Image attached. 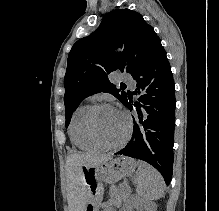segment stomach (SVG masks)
I'll list each match as a JSON object with an SVG mask.
<instances>
[{
  "label": "stomach",
  "mask_w": 219,
  "mask_h": 211,
  "mask_svg": "<svg viewBox=\"0 0 219 211\" xmlns=\"http://www.w3.org/2000/svg\"><path fill=\"white\" fill-rule=\"evenodd\" d=\"M137 165L134 159L118 156L96 166H82L87 188V204L84 211L98 210L102 182L115 183L134 173Z\"/></svg>",
  "instance_id": "1"
}]
</instances>
